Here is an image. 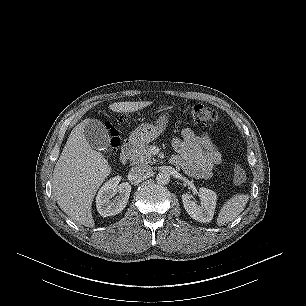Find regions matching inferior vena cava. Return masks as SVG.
Returning a JSON list of instances; mask_svg holds the SVG:
<instances>
[{
    "mask_svg": "<svg viewBox=\"0 0 306 306\" xmlns=\"http://www.w3.org/2000/svg\"><path fill=\"white\" fill-rule=\"evenodd\" d=\"M152 172V168L148 165H136L131 168V175L135 178H141L149 175Z\"/></svg>",
    "mask_w": 306,
    "mask_h": 306,
    "instance_id": "obj_1",
    "label": "inferior vena cava"
}]
</instances>
